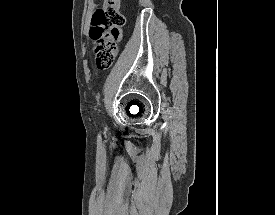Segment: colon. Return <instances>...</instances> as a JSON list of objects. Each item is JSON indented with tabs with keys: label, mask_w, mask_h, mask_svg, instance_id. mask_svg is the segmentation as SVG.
<instances>
[{
	"label": "colon",
	"mask_w": 275,
	"mask_h": 215,
	"mask_svg": "<svg viewBox=\"0 0 275 215\" xmlns=\"http://www.w3.org/2000/svg\"><path fill=\"white\" fill-rule=\"evenodd\" d=\"M124 25L125 17L120 12V0H103V6L93 14L90 27L98 67H109L114 62Z\"/></svg>",
	"instance_id": "5ec220e1"
}]
</instances>
